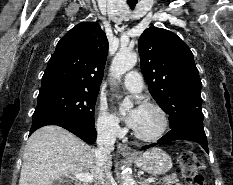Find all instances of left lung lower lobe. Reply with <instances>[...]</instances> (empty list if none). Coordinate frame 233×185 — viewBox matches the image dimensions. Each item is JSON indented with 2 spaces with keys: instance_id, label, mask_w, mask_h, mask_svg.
Segmentation results:
<instances>
[{
  "instance_id": "0a47b994",
  "label": "left lung lower lobe",
  "mask_w": 233,
  "mask_h": 185,
  "mask_svg": "<svg viewBox=\"0 0 233 185\" xmlns=\"http://www.w3.org/2000/svg\"><path fill=\"white\" fill-rule=\"evenodd\" d=\"M175 140H190L199 143L209 153L207 138L203 128V114L194 115L183 123L173 127L157 143L144 146L142 149L150 148L156 144H164Z\"/></svg>"
}]
</instances>
